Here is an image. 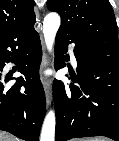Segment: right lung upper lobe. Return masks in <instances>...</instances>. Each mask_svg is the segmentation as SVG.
Here are the masks:
<instances>
[{"mask_svg":"<svg viewBox=\"0 0 119 141\" xmlns=\"http://www.w3.org/2000/svg\"><path fill=\"white\" fill-rule=\"evenodd\" d=\"M34 0H0V43L34 26Z\"/></svg>","mask_w":119,"mask_h":141,"instance_id":"right-lung-upper-lobe-1","label":"right lung upper lobe"}]
</instances>
